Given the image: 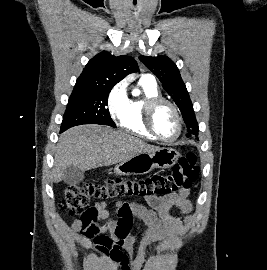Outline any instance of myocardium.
<instances>
[{
  "label": "myocardium",
  "instance_id": "obj_1",
  "mask_svg": "<svg viewBox=\"0 0 267 270\" xmlns=\"http://www.w3.org/2000/svg\"><path fill=\"white\" fill-rule=\"evenodd\" d=\"M162 104H166V105L170 106L172 108V110L174 111L176 118H177L178 130H177L176 135L171 139H166V138H163L162 136H160L157 133L155 126H154V121H153L154 112ZM143 121H144V125H145L146 129L148 130V132L154 137V139H156L160 142H163L166 144H173L180 138V136L182 134L183 122H182L181 113H180L178 107L170 100L165 99L161 96L153 97V98H150L149 100H147V102L145 103V106H144Z\"/></svg>",
  "mask_w": 267,
  "mask_h": 270
}]
</instances>
